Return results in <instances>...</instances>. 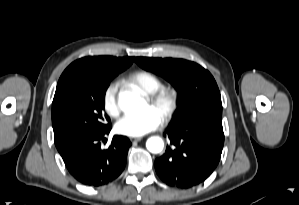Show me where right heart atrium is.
I'll return each instance as SVG.
<instances>
[{"label": "right heart atrium", "instance_id": "1", "mask_svg": "<svg viewBox=\"0 0 299 205\" xmlns=\"http://www.w3.org/2000/svg\"><path fill=\"white\" fill-rule=\"evenodd\" d=\"M117 91H118V83L111 82L106 86L103 92L102 104L104 110L110 116H117L119 114L120 108L118 103Z\"/></svg>", "mask_w": 299, "mask_h": 205}]
</instances>
